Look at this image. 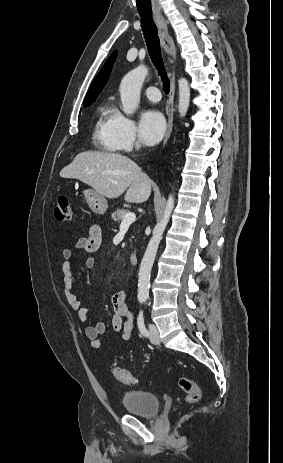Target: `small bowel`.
Masks as SVG:
<instances>
[{
    "instance_id": "1",
    "label": "small bowel",
    "mask_w": 283,
    "mask_h": 463,
    "mask_svg": "<svg viewBox=\"0 0 283 463\" xmlns=\"http://www.w3.org/2000/svg\"><path fill=\"white\" fill-rule=\"evenodd\" d=\"M102 243V230L99 225H92L87 234L79 238L72 246L63 250L64 263L62 266L64 296L70 307L75 313L78 321L84 328L85 336L90 341V345L94 349L102 347L101 337L106 332V325L102 321L91 323L88 321V311L84 308L75 293L73 292L74 276L72 268L75 260L74 256L77 252H84L87 256L84 259V264L87 268L95 266V259L91 256L96 253ZM111 304L113 308V316L111 324L113 329L120 333L122 340L128 341L131 339L133 331V313L126 303V292L119 290L111 296Z\"/></svg>"
}]
</instances>
